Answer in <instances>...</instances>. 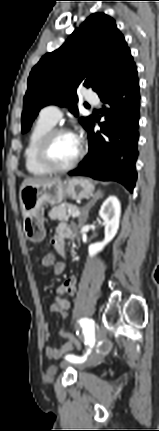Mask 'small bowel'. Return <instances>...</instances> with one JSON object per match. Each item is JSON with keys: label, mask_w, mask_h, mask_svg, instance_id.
I'll return each instance as SVG.
<instances>
[{"label": "small bowel", "mask_w": 159, "mask_h": 431, "mask_svg": "<svg viewBox=\"0 0 159 431\" xmlns=\"http://www.w3.org/2000/svg\"><path fill=\"white\" fill-rule=\"evenodd\" d=\"M72 235V229L68 225H59L57 234L52 239L53 246L59 254L65 255V239L72 237ZM54 262L55 269L53 272L55 275H59L65 270V264L63 262L56 261L55 258ZM46 263L47 262L44 256L41 260V266L46 268ZM76 282V277L70 276L62 284L57 286L55 290L56 295L54 296V304L51 307L52 312H59L60 314H62V310H68V308L70 307L69 298L73 297L76 292ZM42 329L44 331V339L48 340L50 338L48 322H43ZM65 339L66 342L59 347H47L46 355L49 358H59L66 353L72 351L74 346L69 340H67V337Z\"/></svg>", "instance_id": "1"}]
</instances>
